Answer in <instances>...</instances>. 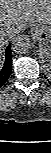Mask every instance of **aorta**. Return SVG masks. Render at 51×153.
Masks as SVG:
<instances>
[{
    "mask_svg": "<svg viewBox=\"0 0 51 153\" xmlns=\"http://www.w3.org/2000/svg\"><path fill=\"white\" fill-rule=\"evenodd\" d=\"M31 38L28 35H16L12 41V49L17 54H25L31 48Z\"/></svg>",
    "mask_w": 51,
    "mask_h": 153,
    "instance_id": "762f6f07",
    "label": "aorta"
}]
</instances>
